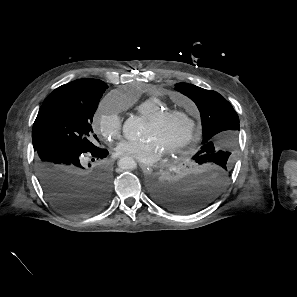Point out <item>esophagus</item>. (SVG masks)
<instances>
[{
	"instance_id": "esophagus-1",
	"label": "esophagus",
	"mask_w": 297,
	"mask_h": 297,
	"mask_svg": "<svg viewBox=\"0 0 297 297\" xmlns=\"http://www.w3.org/2000/svg\"><path fill=\"white\" fill-rule=\"evenodd\" d=\"M140 167H141V169L143 170L144 173L149 174V173L152 172L151 167H149V166L146 165V164H142V163H141V164H140Z\"/></svg>"
}]
</instances>
